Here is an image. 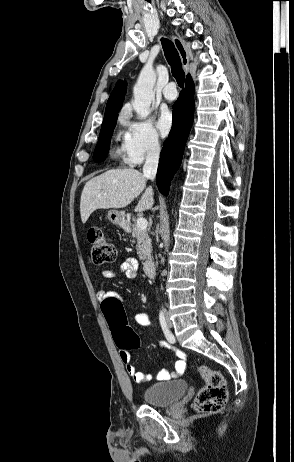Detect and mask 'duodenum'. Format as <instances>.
<instances>
[{"mask_svg":"<svg viewBox=\"0 0 294 462\" xmlns=\"http://www.w3.org/2000/svg\"><path fill=\"white\" fill-rule=\"evenodd\" d=\"M144 273L147 277H152L155 275V263L154 261L148 259L144 262Z\"/></svg>","mask_w":294,"mask_h":462,"instance_id":"410a0bca","label":"duodenum"}]
</instances>
